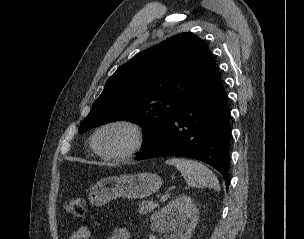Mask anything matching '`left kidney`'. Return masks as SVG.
<instances>
[{
  "label": "left kidney",
  "instance_id": "5707ae66",
  "mask_svg": "<svg viewBox=\"0 0 304 239\" xmlns=\"http://www.w3.org/2000/svg\"><path fill=\"white\" fill-rule=\"evenodd\" d=\"M199 210L190 196H181L151 216L152 228L170 233L168 239H190L198 223Z\"/></svg>",
  "mask_w": 304,
  "mask_h": 239
}]
</instances>
